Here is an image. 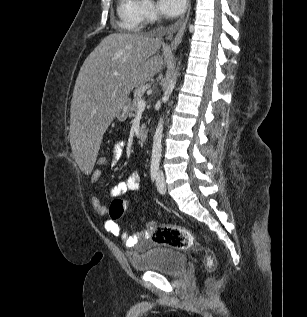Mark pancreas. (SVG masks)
<instances>
[{
	"instance_id": "cf45deb5",
	"label": "pancreas",
	"mask_w": 307,
	"mask_h": 317,
	"mask_svg": "<svg viewBox=\"0 0 307 317\" xmlns=\"http://www.w3.org/2000/svg\"><path fill=\"white\" fill-rule=\"evenodd\" d=\"M142 94H143V90L142 89L135 90V92H134V100H133L132 104L129 107V117H134L135 116V112L137 111L138 101L142 100ZM144 129H145V124H143L141 129H140V138H141L142 141L145 138V134L143 133Z\"/></svg>"
}]
</instances>
